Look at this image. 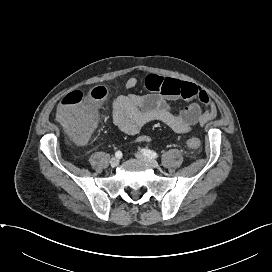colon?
Returning <instances> with one entry per match:
<instances>
[{
    "mask_svg": "<svg viewBox=\"0 0 272 272\" xmlns=\"http://www.w3.org/2000/svg\"><path fill=\"white\" fill-rule=\"evenodd\" d=\"M106 94L104 87H97L88 95L74 91L62 100L58 109V120L73 142L83 144L89 139L96 123V103ZM200 145L197 137L187 140L190 149H198Z\"/></svg>",
    "mask_w": 272,
    "mask_h": 272,
    "instance_id": "obj_1",
    "label": "colon"
}]
</instances>
